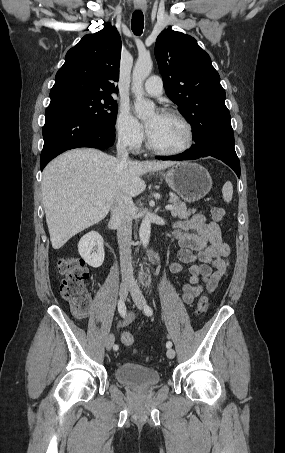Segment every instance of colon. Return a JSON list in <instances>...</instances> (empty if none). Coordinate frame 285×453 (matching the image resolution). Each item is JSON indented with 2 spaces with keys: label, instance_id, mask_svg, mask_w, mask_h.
I'll return each mask as SVG.
<instances>
[{
  "label": "colon",
  "instance_id": "5ec220e1",
  "mask_svg": "<svg viewBox=\"0 0 285 453\" xmlns=\"http://www.w3.org/2000/svg\"><path fill=\"white\" fill-rule=\"evenodd\" d=\"M210 213L215 221L223 219L224 210L219 206H212ZM57 268L63 276L61 282L62 297L70 303L73 312L77 316H85L91 305L90 293L85 284L88 278L85 262L79 257L65 256L58 259ZM208 307L209 298L206 294H203L196 304L197 315L206 313ZM121 341L125 346H132L134 336L129 332H125L122 334Z\"/></svg>",
  "mask_w": 285,
  "mask_h": 453
}]
</instances>
